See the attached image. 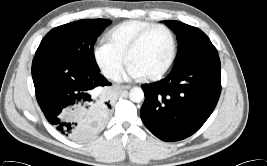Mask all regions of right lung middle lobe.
Segmentation results:
<instances>
[{
    "label": "right lung middle lobe",
    "mask_w": 267,
    "mask_h": 166,
    "mask_svg": "<svg viewBox=\"0 0 267 166\" xmlns=\"http://www.w3.org/2000/svg\"><path fill=\"white\" fill-rule=\"evenodd\" d=\"M109 23L110 20L85 19L56 27L43 38L36 54L52 52L99 71L93 46Z\"/></svg>",
    "instance_id": "1"
}]
</instances>
